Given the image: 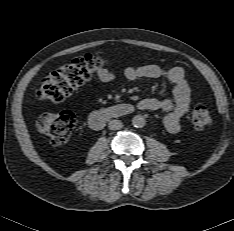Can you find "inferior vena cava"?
Here are the masks:
<instances>
[{
	"label": "inferior vena cava",
	"mask_w": 234,
	"mask_h": 231,
	"mask_svg": "<svg viewBox=\"0 0 234 231\" xmlns=\"http://www.w3.org/2000/svg\"><path fill=\"white\" fill-rule=\"evenodd\" d=\"M109 129L119 130L123 127V123L120 120H111L108 124Z\"/></svg>",
	"instance_id": "602c4592"
}]
</instances>
